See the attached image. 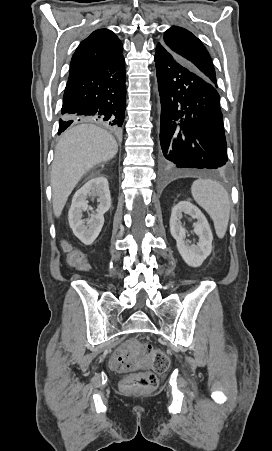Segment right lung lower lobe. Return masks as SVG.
Wrapping results in <instances>:
<instances>
[{
	"instance_id": "right-lung-lower-lobe-1",
	"label": "right lung lower lobe",
	"mask_w": 272,
	"mask_h": 451,
	"mask_svg": "<svg viewBox=\"0 0 272 451\" xmlns=\"http://www.w3.org/2000/svg\"><path fill=\"white\" fill-rule=\"evenodd\" d=\"M126 103L123 55L70 72L58 134L80 121H97L115 133L123 127Z\"/></svg>"
}]
</instances>
